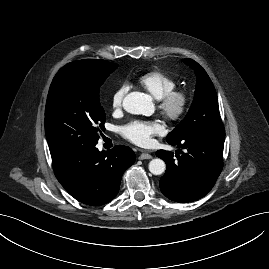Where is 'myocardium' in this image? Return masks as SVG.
<instances>
[{"label":"myocardium","instance_id":"1","mask_svg":"<svg viewBox=\"0 0 269 269\" xmlns=\"http://www.w3.org/2000/svg\"><path fill=\"white\" fill-rule=\"evenodd\" d=\"M157 100L159 111L168 121H180L187 113L189 95L183 89H173Z\"/></svg>","mask_w":269,"mask_h":269}]
</instances>
